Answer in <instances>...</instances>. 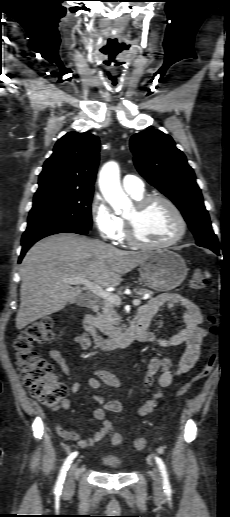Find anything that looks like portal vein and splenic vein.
<instances>
[{
  "mask_svg": "<svg viewBox=\"0 0 230 517\" xmlns=\"http://www.w3.org/2000/svg\"><path fill=\"white\" fill-rule=\"evenodd\" d=\"M66 281L72 285H84L90 291H92L96 296L104 299L105 301L112 303L114 305H120L121 299L118 295L105 291L98 284L81 277H70L67 278ZM141 301L139 299L133 300L134 305H140Z\"/></svg>",
  "mask_w": 230,
  "mask_h": 517,
  "instance_id": "portal-vein-and-splenic-vein-1",
  "label": "portal vein and splenic vein"
}]
</instances>
